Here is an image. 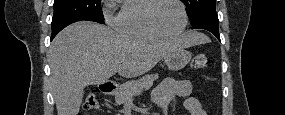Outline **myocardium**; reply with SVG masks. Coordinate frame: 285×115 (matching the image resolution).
<instances>
[{
    "label": "myocardium",
    "mask_w": 285,
    "mask_h": 115,
    "mask_svg": "<svg viewBox=\"0 0 285 115\" xmlns=\"http://www.w3.org/2000/svg\"><path fill=\"white\" fill-rule=\"evenodd\" d=\"M162 1H166V0H152L151 4L149 5V7L147 9V13H146V20H147L148 25L151 27L152 30H154L155 32H157L161 36L174 37V36H178V35L182 34L186 30V28L188 27V23H189L188 13H187V10H186L184 3L181 0H172L175 3H177L181 8L182 15H183V24L178 31L167 32V31L163 30L156 23V21L154 19V11L156 10L158 4L161 3Z\"/></svg>",
    "instance_id": "myocardium-1"
}]
</instances>
